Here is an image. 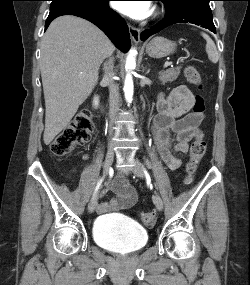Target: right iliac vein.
Here are the masks:
<instances>
[{
  "label": "right iliac vein",
  "mask_w": 250,
  "mask_h": 285,
  "mask_svg": "<svg viewBox=\"0 0 250 285\" xmlns=\"http://www.w3.org/2000/svg\"><path fill=\"white\" fill-rule=\"evenodd\" d=\"M114 161V151L112 149H109L107 154H106V158H105V162H104V167H103V174L104 176H106L109 172V169L112 165ZM98 193L99 191L97 190L93 197L91 198L89 204H88V211L90 213L94 212L96 205H97V201H98Z\"/></svg>",
  "instance_id": "63e3f726"
}]
</instances>
